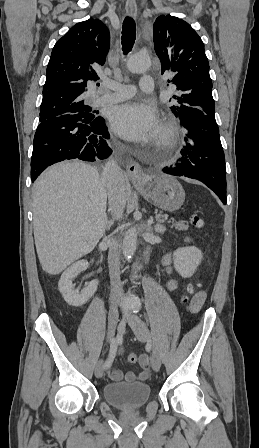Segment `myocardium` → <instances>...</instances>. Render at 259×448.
Wrapping results in <instances>:
<instances>
[{
    "instance_id": "f54148a6",
    "label": "myocardium",
    "mask_w": 259,
    "mask_h": 448,
    "mask_svg": "<svg viewBox=\"0 0 259 448\" xmlns=\"http://www.w3.org/2000/svg\"><path fill=\"white\" fill-rule=\"evenodd\" d=\"M177 134V124L173 119H168L162 126L157 144L170 146L174 143Z\"/></svg>"
}]
</instances>
